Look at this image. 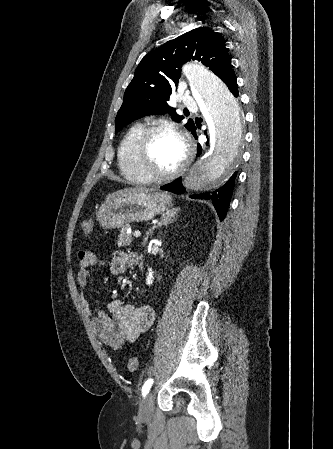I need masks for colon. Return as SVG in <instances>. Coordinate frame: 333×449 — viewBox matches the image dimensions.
I'll use <instances>...</instances> for the list:
<instances>
[{"label":"colon","mask_w":333,"mask_h":449,"mask_svg":"<svg viewBox=\"0 0 333 449\" xmlns=\"http://www.w3.org/2000/svg\"><path fill=\"white\" fill-rule=\"evenodd\" d=\"M94 228L93 220L89 219L83 222L82 231L85 235H90ZM128 370L131 372H135L139 368V361L136 357H130L127 361Z\"/></svg>","instance_id":"5ec220e1"}]
</instances>
